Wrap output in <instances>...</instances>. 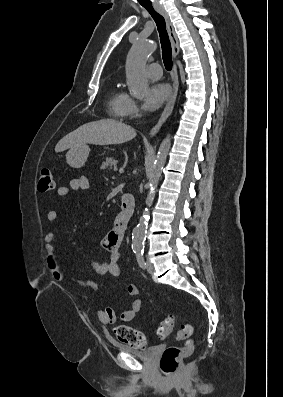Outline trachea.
I'll return each mask as SVG.
<instances>
[{
  "mask_svg": "<svg viewBox=\"0 0 283 397\" xmlns=\"http://www.w3.org/2000/svg\"><path fill=\"white\" fill-rule=\"evenodd\" d=\"M143 7L151 14L157 25L162 47V59L166 70L170 71L172 69L171 44L166 30L165 19L161 14L154 10L152 5H143Z\"/></svg>",
  "mask_w": 283,
  "mask_h": 397,
  "instance_id": "obj_1",
  "label": "trachea"
}]
</instances>
